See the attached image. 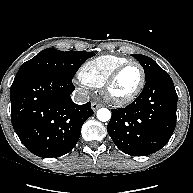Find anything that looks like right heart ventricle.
Masks as SVG:
<instances>
[{
  "instance_id": "e07e8e85",
  "label": "right heart ventricle",
  "mask_w": 193,
  "mask_h": 193,
  "mask_svg": "<svg viewBox=\"0 0 193 193\" xmlns=\"http://www.w3.org/2000/svg\"><path fill=\"white\" fill-rule=\"evenodd\" d=\"M130 61L116 55H101L85 62L79 70L80 80L94 88H101L106 78L118 66Z\"/></svg>"
}]
</instances>
